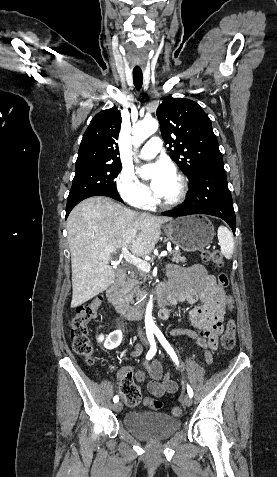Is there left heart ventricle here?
Wrapping results in <instances>:
<instances>
[{"label":"left heart ventricle","mask_w":277,"mask_h":477,"mask_svg":"<svg viewBox=\"0 0 277 477\" xmlns=\"http://www.w3.org/2000/svg\"><path fill=\"white\" fill-rule=\"evenodd\" d=\"M179 193V183L177 179L175 178L171 185L169 186L166 194L161 197L162 200L168 201L174 199Z\"/></svg>","instance_id":"b2bd125f"}]
</instances>
